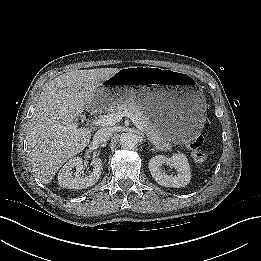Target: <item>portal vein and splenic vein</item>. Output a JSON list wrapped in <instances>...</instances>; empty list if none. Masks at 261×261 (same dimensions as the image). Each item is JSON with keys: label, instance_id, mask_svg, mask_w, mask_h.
<instances>
[{"label": "portal vein and splenic vein", "instance_id": "portal-vein-and-splenic-vein-1", "mask_svg": "<svg viewBox=\"0 0 261 261\" xmlns=\"http://www.w3.org/2000/svg\"><path fill=\"white\" fill-rule=\"evenodd\" d=\"M123 117L129 118L140 131H144V128H143L141 122L137 119L136 116L133 115V113L128 112V111L111 114L107 118L97 119V120H94L92 123L95 125H99V126H113L116 123H118L119 121H121V119ZM77 127H78V123L74 122V123L70 124L67 128L69 130H76Z\"/></svg>", "mask_w": 261, "mask_h": 261}]
</instances>
